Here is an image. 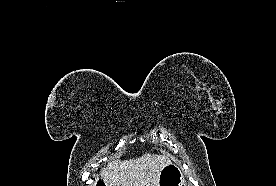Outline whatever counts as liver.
Instances as JSON below:
<instances>
[{
	"mask_svg": "<svg viewBox=\"0 0 276 186\" xmlns=\"http://www.w3.org/2000/svg\"><path fill=\"white\" fill-rule=\"evenodd\" d=\"M171 163L166 155L146 153L130 160H114L102 169L106 186H158L162 168Z\"/></svg>",
	"mask_w": 276,
	"mask_h": 186,
	"instance_id": "6515ba94",
	"label": "liver"
}]
</instances>
